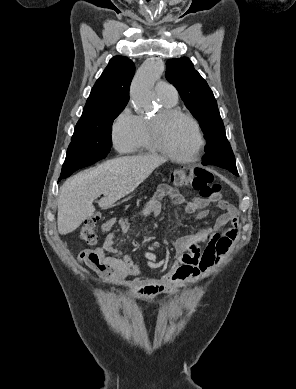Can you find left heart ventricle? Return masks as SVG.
<instances>
[{
  "mask_svg": "<svg viewBox=\"0 0 296 389\" xmlns=\"http://www.w3.org/2000/svg\"><path fill=\"white\" fill-rule=\"evenodd\" d=\"M166 146L178 156H189L197 145V134L192 123L185 118L169 121L164 129Z\"/></svg>",
  "mask_w": 296,
  "mask_h": 389,
  "instance_id": "left-heart-ventricle-1",
  "label": "left heart ventricle"
}]
</instances>
